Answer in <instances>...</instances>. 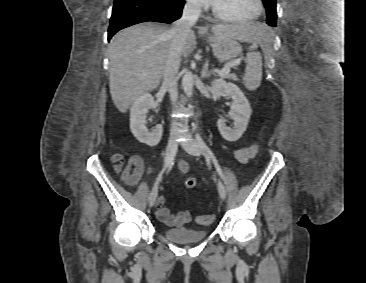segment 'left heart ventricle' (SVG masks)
<instances>
[{"label": "left heart ventricle", "mask_w": 366, "mask_h": 283, "mask_svg": "<svg viewBox=\"0 0 366 283\" xmlns=\"http://www.w3.org/2000/svg\"><path fill=\"white\" fill-rule=\"evenodd\" d=\"M216 9L228 16L247 17L256 11V0H216Z\"/></svg>", "instance_id": "b2bd125f"}]
</instances>
